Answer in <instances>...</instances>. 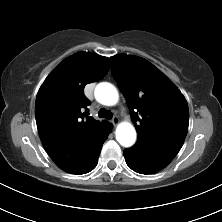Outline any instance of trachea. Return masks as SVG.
<instances>
[{"mask_svg": "<svg viewBox=\"0 0 222 222\" xmlns=\"http://www.w3.org/2000/svg\"><path fill=\"white\" fill-rule=\"evenodd\" d=\"M98 116L100 118L111 119L113 117V114L109 110L100 109L99 112H98Z\"/></svg>", "mask_w": 222, "mask_h": 222, "instance_id": "1", "label": "trachea"}]
</instances>
